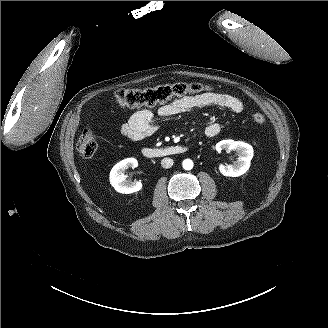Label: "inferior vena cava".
<instances>
[{
  "label": "inferior vena cava",
  "instance_id": "obj_1",
  "mask_svg": "<svg viewBox=\"0 0 328 328\" xmlns=\"http://www.w3.org/2000/svg\"><path fill=\"white\" fill-rule=\"evenodd\" d=\"M173 159L171 158H163L162 161H161V166L163 168H171L172 165H173Z\"/></svg>",
  "mask_w": 328,
  "mask_h": 328
}]
</instances>
